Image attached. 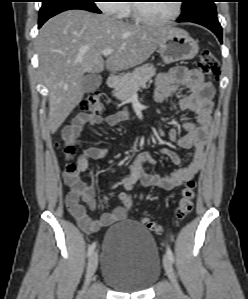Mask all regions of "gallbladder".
<instances>
[{
    "instance_id": "gallbladder-1",
    "label": "gallbladder",
    "mask_w": 248,
    "mask_h": 299,
    "mask_svg": "<svg viewBox=\"0 0 248 299\" xmlns=\"http://www.w3.org/2000/svg\"><path fill=\"white\" fill-rule=\"evenodd\" d=\"M102 83V77L98 74L85 75L82 81V88L85 93L97 90Z\"/></svg>"
}]
</instances>
